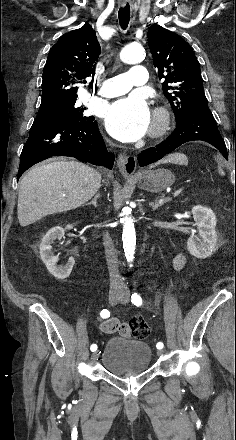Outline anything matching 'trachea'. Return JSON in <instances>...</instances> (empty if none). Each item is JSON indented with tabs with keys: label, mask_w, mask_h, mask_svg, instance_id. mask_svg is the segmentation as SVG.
Returning <instances> with one entry per match:
<instances>
[{
	"label": "trachea",
	"mask_w": 236,
	"mask_h": 440,
	"mask_svg": "<svg viewBox=\"0 0 236 440\" xmlns=\"http://www.w3.org/2000/svg\"><path fill=\"white\" fill-rule=\"evenodd\" d=\"M118 17L121 28L126 29L130 19V6L128 3L123 8L119 9Z\"/></svg>",
	"instance_id": "3493384b"
}]
</instances>
